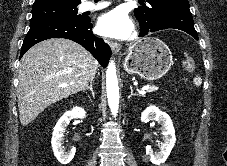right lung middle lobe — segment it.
<instances>
[{"instance_id":"right-lung-middle-lobe-1","label":"right lung middle lobe","mask_w":227,"mask_h":166,"mask_svg":"<svg viewBox=\"0 0 227 166\" xmlns=\"http://www.w3.org/2000/svg\"><path fill=\"white\" fill-rule=\"evenodd\" d=\"M78 4L46 3L33 5L31 25H35L51 19L81 20L84 17L78 15Z\"/></svg>"}]
</instances>
